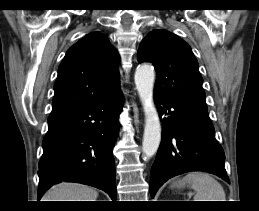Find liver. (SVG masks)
Segmentation results:
<instances>
[{"label": "liver", "mask_w": 259, "mask_h": 211, "mask_svg": "<svg viewBox=\"0 0 259 211\" xmlns=\"http://www.w3.org/2000/svg\"><path fill=\"white\" fill-rule=\"evenodd\" d=\"M98 192L86 185L61 183L52 187L43 201H96Z\"/></svg>", "instance_id": "liver-1"}]
</instances>
